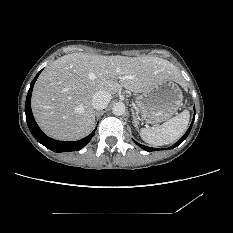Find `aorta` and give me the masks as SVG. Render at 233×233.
<instances>
[{
  "label": "aorta",
  "mask_w": 233,
  "mask_h": 233,
  "mask_svg": "<svg viewBox=\"0 0 233 233\" xmlns=\"http://www.w3.org/2000/svg\"><path fill=\"white\" fill-rule=\"evenodd\" d=\"M125 110H126V107H125L124 103H122V102H118V103L114 104V106L112 108V112L116 116L123 115L125 113Z\"/></svg>",
  "instance_id": "aorta-1"
}]
</instances>
